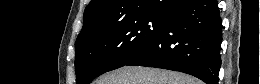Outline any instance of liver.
<instances>
[{"label":"liver","instance_id":"liver-1","mask_svg":"<svg viewBox=\"0 0 260 84\" xmlns=\"http://www.w3.org/2000/svg\"><path fill=\"white\" fill-rule=\"evenodd\" d=\"M95 84H202L198 79L181 72L124 66L100 77Z\"/></svg>","mask_w":260,"mask_h":84}]
</instances>
